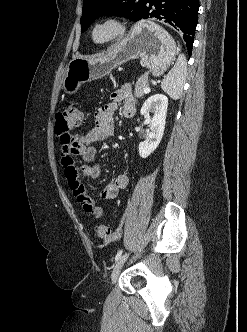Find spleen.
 <instances>
[{
	"label": "spleen",
	"mask_w": 247,
	"mask_h": 332,
	"mask_svg": "<svg viewBox=\"0 0 247 332\" xmlns=\"http://www.w3.org/2000/svg\"><path fill=\"white\" fill-rule=\"evenodd\" d=\"M186 73V57L183 54H179L174 67L169 71L161 83L162 90L174 100L179 99L183 93Z\"/></svg>",
	"instance_id": "1"
}]
</instances>
